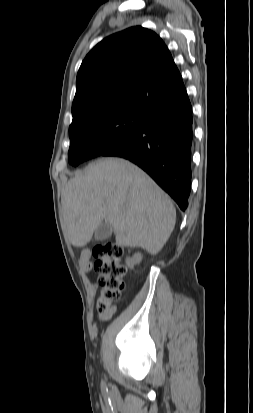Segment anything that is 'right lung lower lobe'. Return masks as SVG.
<instances>
[{
    "instance_id": "right-lung-lower-lobe-1",
    "label": "right lung lower lobe",
    "mask_w": 253,
    "mask_h": 413,
    "mask_svg": "<svg viewBox=\"0 0 253 413\" xmlns=\"http://www.w3.org/2000/svg\"><path fill=\"white\" fill-rule=\"evenodd\" d=\"M192 107L188 96L152 107L143 126L101 156L130 160L146 171L179 205L191 189Z\"/></svg>"
}]
</instances>
